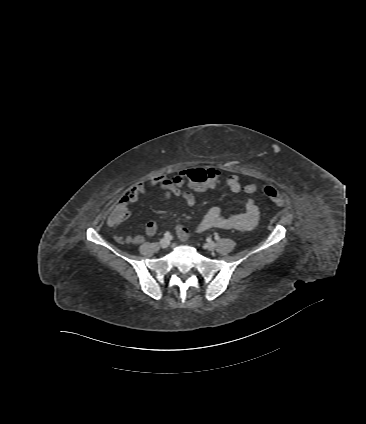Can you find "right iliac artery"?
Returning <instances> with one entry per match:
<instances>
[{"mask_svg":"<svg viewBox=\"0 0 366 424\" xmlns=\"http://www.w3.org/2000/svg\"><path fill=\"white\" fill-rule=\"evenodd\" d=\"M164 236H165L166 238H169V237H171V234H170L169 232H166V233L164 234Z\"/></svg>","mask_w":366,"mask_h":424,"instance_id":"right-iliac-artery-1","label":"right iliac artery"}]
</instances>
